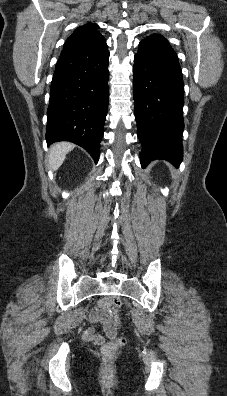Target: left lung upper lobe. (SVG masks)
Wrapping results in <instances>:
<instances>
[{
    "label": "left lung upper lobe",
    "instance_id": "1",
    "mask_svg": "<svg viewBox=\"0 0 227 396\" xmlns=\"http://www.w3.org/2000/svg\"><path fill=\"white\" fill-rule=\"evenodd\" d=\"M151 36H161V35H158V34H153V35H151ZM161 37H163V36H161Z\"/></svg>",
    "mask_w": 227,
    "mask_h": 396
}]
</instances>
